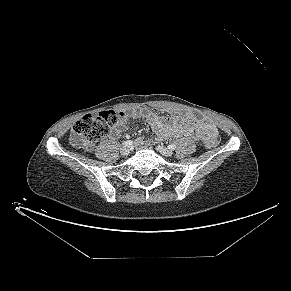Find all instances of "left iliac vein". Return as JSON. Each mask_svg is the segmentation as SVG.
<instances>
[{
    "label": "left iliac vein",
    "instance_id": "left-iliac-vein-1",
    "mask_svg": "<svg viewBox=\"0 0 291 291\" xmlns=\"http://www.w3.org/2000/svg\"><path fill=\"white\" fill-rule=\"evenodd\" d=\"M156 149L163 155L166 157H170L173 154V151L167 147H163V146H157Z\"/></svg>",
    "mask_w": 291,
    "mask_h": 291
}]
</instances>
